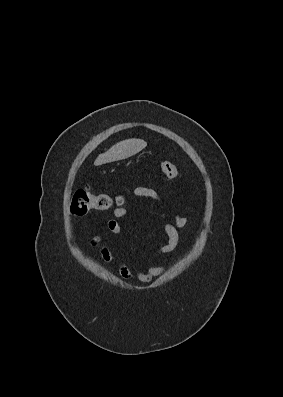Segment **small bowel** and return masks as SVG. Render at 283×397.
Returning <instances> with one entry per match:
<instances>
[{
  "label": "small bowel",
  "instance_id": "c3829d8e",
  "mask_svg": "<svg viewBox=\"0 0 283 397\" xmlns=\"http://www.w3.org/2000/svg\"><path fill=\"white\" fill-rule=\"evenodd\" d=\"M132 195L136 197H143L150 199L158 205L167 208L164 200L159 194L147 187H136L132 191ZM130 215V211L125 207H117L113 210V217L110 218L107 223V229L115 234L119 235L122 232V227L118 219L124 218ZM171 222H163L162 228L167 237V242L158 247L160 254H167L172 252L179 243V232L178 229L183 228L187 225L188 219L186 216L179 215L174 212H170ZM91 244L99 248L100 255L105 262H114L116 260L115 254L111 251L110 247L106 244L104 237L101 234H95L91 239ZM165 269L162 266H149L146 269L139 270L134 273L130 267L122 261H118V273L126 280L136 278L142 283H150L154 278L162 275Z\"/></svg>",
  "mask_w": 283,
  "mask_h": 397
}]
</instances>
